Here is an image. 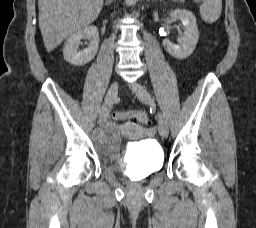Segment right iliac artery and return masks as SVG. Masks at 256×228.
I'll list each match as a JSON object with an SVG mask.
<instances>
[{
	"mask_svg": "<svg viewBox=\"0 0 256 228\" xmlns=\"http://www.w3.org/2000/svg\"><path fill=\"white\" fill-rule=\"evenodd\" d=\"M102 110H103V107L101 108L100 113L102 112Z\"/></svg>",
	"mask_w": 256,
	"mask_h": 228,
	"instance_id": "obj_1",
	"label": "right iliac artery"
}]
</instances>
